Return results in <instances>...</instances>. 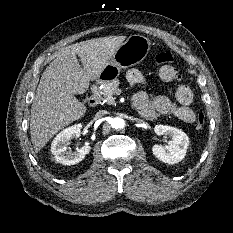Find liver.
<instances>
[{
    "instance_id": "1",
    "label": "liver",
    "mask_w": 233,
    "mask_h": 233,
    "mask_svg": "<svg viewBox=\"0 0 233 233\" xmlns=\"http://www.w3.org/2000/svg\"><path fill=\"white\" fill-rule=\"evenodd\" d=\"M125 36H110L62 48L47 66L33 97L30 136L35 153L61 129L80 119L87 107L75 95L97 80ZM83 64L80 66L77 56Z\"/></svg>"
}]
</instances>
